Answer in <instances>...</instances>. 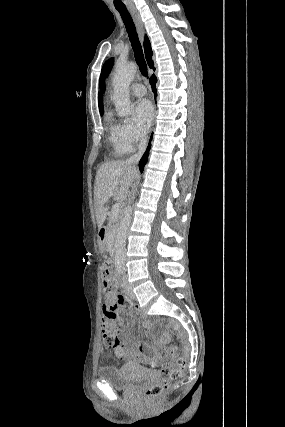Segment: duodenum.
<instances>
[{
  "label": "duodenum",
  "instance_id": "410a0bca",
  "mask_svg": "<svg viewBox=\"0 0 285 427\" xmlns=\"http://www.w3.org/2000/svg\"><path fill=\"white\" fill-rule=\"evenodd\" d=\"M111 231L109 227H101L99 229L98 237H99V243L101 246L105 245L106 242V236Z\"/></svg>",
  "mask_w": 285,
  "mask_h": 427
}]
</instances>
